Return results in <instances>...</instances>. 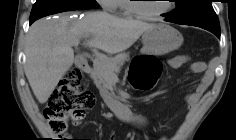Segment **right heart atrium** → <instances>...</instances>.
<instances>
[{
  "mask_svg": "<svg viewBox=\"0 0 236 140\" xmlns=\"http://www.w3.org/2000/svg\"><path fill=\"white\" fill-rule=\"evenodd\" d=\"M99 3L102 5L103 9L106 11H113L115 9L113 0H99Z\"/></svg>",
  "mask_w": 236,
  "mask_h": 140,
  "instance_id": "obj_1",
  "label": "right heart atrium"
}]
</instances>
